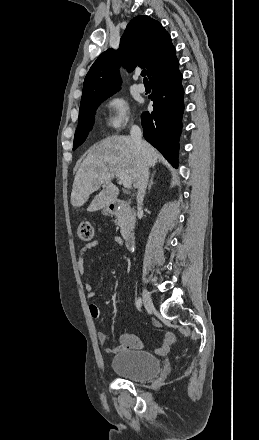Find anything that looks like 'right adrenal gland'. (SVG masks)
Wrapping results in <instances>:
<instances>
[{
  "mask_svg": "<svg viewBox=\"0 0 259 440\" xmlns=\"http://www.w3.org/2000/svg\"><path fill=\"white\" fill-rule=\"evenodd\" d=\"M154 175H155V172L151 175V178H150V181H149V185H148L147 192H149V191L151 190V187H152V185H153V183H154Z\"/></svg>",
  "mask_w": 259,
  "mask_h": 440,
  "instance_id": "obj_1",
  "label": "right adrenal gland"
}]
</instances>
